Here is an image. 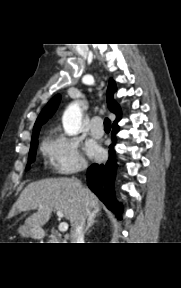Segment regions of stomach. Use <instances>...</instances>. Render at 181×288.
Returning a JSON list of instances; mask_svg holds the SVG:
<instances>
[{
  "mask_svg": "<svg viewBox=\"0 0 181 288\" xmlns=\"http://www.w3.org/2000/svg\"><path fill=\"white\" fill-rule=\"evenodd\" d=\"M18 232L20 233L21 236L23 237H33V238H41V231L33 229L28 226H21L18 229Z\"/></svg>",
  "mask_w": 181,
  "mask_h": 288,
  "instance_id": "stomach-1",
  "label": "stomach"
}]
</instances>
